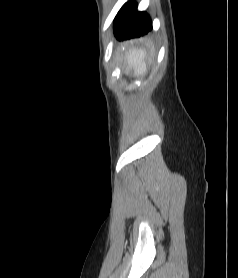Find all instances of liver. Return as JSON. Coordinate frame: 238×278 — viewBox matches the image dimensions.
Instances as JSON below:
<instances>
[{"mask_svg":"<svg viewBox=\"0 0 238 278\" xmlns=\"http://www.w3.org/2000/svg\"><path fill=\"white\" fill-rule=\"evenodd\" d=\"M147 51L144 48H131L125 55L127 68L134 71L135 76H145L148 72Z\"/></svg>","mask_w":238,"mask_h":278,"instance_id":"1","label":"liver"}]
</instances>
